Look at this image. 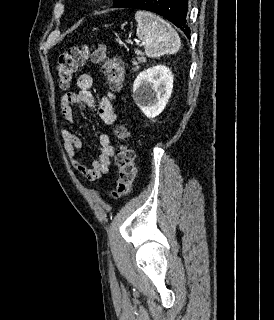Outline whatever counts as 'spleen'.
Returning a JSON list of instances; mask_svg holds the SVG:
<instances>
[{
    "mask_svg": "<svg viewBox=\"0 0 274 320\" xmlns=\"http://www.w3.org/2000/svg\"><path fill=\"white\" fill-rule=\"evenodd\" d=\"M137 36L144 42L148 58H160L165 54H177L181 44L180 38L165 20L151 12H136Z\"/></svg>",
    "mask_w": 274,
    "mask_h": 320,
    "instance_id": "obj_1",
    "label": "spleen"
}]
</instances>
